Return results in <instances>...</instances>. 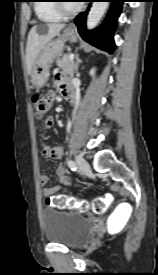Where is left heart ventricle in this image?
I'll use <instances>...</instances> for the list:
<instances>
[{
  "label": "left heart ventricle",
  "mask_w": 158,
  "mask_h": 275,
  "mask_svg": "<svg viewBox=\"0 0 158 275\" xmlns=\"http://www.w3.org/2000/svg\"><path fill=\"white\" fill-rule=\"evenodd\" d=\"M66 5H67L69 8H73V7L77 6L78 4H77V3H66Z\"/></svg>",
  "instance_id": "obj_1"
}]
</instances>
